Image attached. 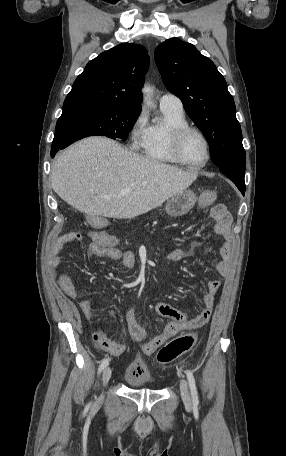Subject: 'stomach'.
<instances>
[{"instance_id": "0dacf381", "label": "stomach", "mask_w": 286, "mask_h": 456, "mask_svg": "<svg viewBox=\"0 0 286 456\" xmlns=\"http://www.w3.org/2000/svg\"><path fill=\"white\" fill-rule=\"evenodd\" d=\"M196 200L197 197L193 191H183L167 201L165 211L174 217L183 216L192 209Z\"/></svg>"}]
</instances>
